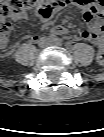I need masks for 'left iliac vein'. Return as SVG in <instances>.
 I'll list each match as a JSON object with an SVG mask.
<instances>
[{
    "instance_id": "left-iliac-vein-1",
    "label": "left iliac vein",
    "mask_w": 104,
    "mask_h": 137,
    "mask_svg": "<svg viewBox=\"0 0 104 137\" xmlns=\"http://www.w3.org/2000/svg\"><path fill=\"white\" fill-rule=\"evenodd\" d=\"M50 45H58V44L53 41H50Z\"/></svg>"
}]
</instances>
